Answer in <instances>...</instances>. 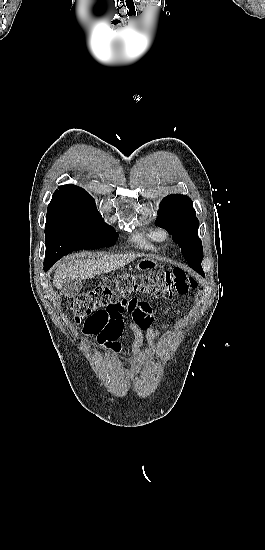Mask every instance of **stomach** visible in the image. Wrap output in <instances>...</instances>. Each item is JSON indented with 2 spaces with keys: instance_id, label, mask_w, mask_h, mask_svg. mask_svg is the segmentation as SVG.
<instances>
[{
  "instance_id": "0dacf381",
  "label": "stomach",
  "mask_w": 265,
  "mask_h": 550,
  "mask_svg": "<svg viewBox=\"0 0 265 550\" xmlns=\"http://www.w3.org/2000/svg\"><path fill=\"white\" fill-rule=\"evenodd\" d=\"M158 267V262L152 258H144L137 262L136 269L139 271H147Z\"/></svg>"
}]
</instances>
